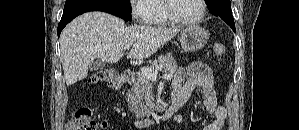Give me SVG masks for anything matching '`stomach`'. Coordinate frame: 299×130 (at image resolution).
Wrapping results in <instances>:
<instances>
[{"label":"stomach","mask_w":299,"mask_h":130,"mask_svg":"<svg viewBox=\"0 0 299 130\" xmlns=\"http://www.w3.org/2000/svg\"><path fill=\"white\" fill-rule=\"evenodd\" d=\"M180 43L183 51L194 52L202 49L209 39V33L196 25L187 27L180 34Z\"/></svg>","instance_id":"stomach-1"}]
</instances>
